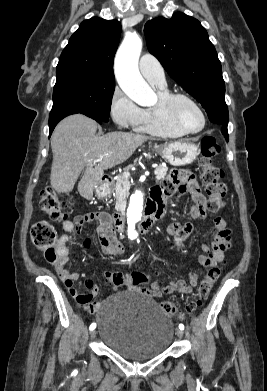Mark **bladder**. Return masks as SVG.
Segmentation results:
<instances>
[{
  "mask_svg": "<svg viewBox=\"0 0 267 391\" xmlns=\"http://www.w3.org/2000/svg\"><path fill=\"white\" fill-rule=\"evenodd\" d=\"M101 342L113 352L143 361L164 353L171 345L174 325L158 304L135 291L106 298L96 313Z\"/></svg>",
  "mask_w": 267,
  "mask_h": 391,
  "instance_id": "obj_1",
  "label": "bladder"
}]
</instances>
